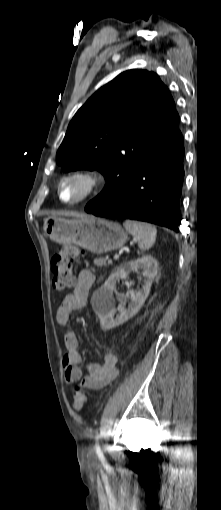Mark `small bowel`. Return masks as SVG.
<instances>
[{
  "instance_id": "c3829d8e",
  "label": "small bowel",
  "mask_w": 221,
  "mask_h": 510,
  "mask_svg": "<svg viewBox=\"0 0 221 510\" xmlns=\"http://www.w3.org/2000/svg\"><path fill=\"white\" fill-rule=\"evenodd\" d=\"M95 276L89 269H82L71 291L63 298L56 314L60 325H67L74 311L82 309L94 284ZM66 353L63 357L65 380L68 383L78 381L82 376V357L79 353V337L75 331H68L64 337ZM88 374L83 378V385L90 389H101L117 376V357L112 350L103 354V362H90Z\"/></svg>"
}]
</instances>
